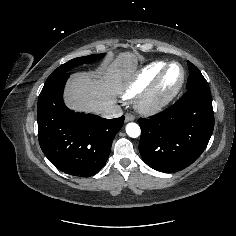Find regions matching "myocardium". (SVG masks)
Returning a JSON list of instances; mask_svg holds the SVG:
<instances>
[{"mask_svg":"<svg viewBox=\"0 0 236 236\" xmlns=\"http://www.w3.org/2000/svg\"><path fill=\"white\" fill-rule=\"evenodd\" d=\"M173 65H178L180 67L181 78L173 90L167 94L161 95L159 94L160 84L166 76L169 68ZM185 78V69L180 63H168L140 97L137 103L138 110L144 114H154L167 107L181 91Z\"/></svg>","mask_w":236,"mask_h":236,"instance_id":"myocardium-1","label":"myocardium"}]
</instances>
